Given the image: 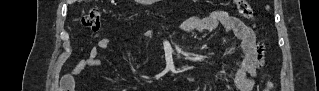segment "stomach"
<instances>
[{"mask_svg": "<svg viewBox=\"0 0 319 91\" xmlns=\"http://www.w3.org/2000/svg\"><path fill=\"white\" fill-rule=\"evenodd\" d=\"M153 0H143L142 2H152Z\"/></svg>", "mask_w": 319, "mask_h": 91, "instance_id": "stomach-1", "label": "stomach"}]
</instances>
